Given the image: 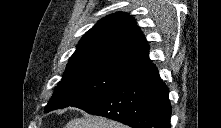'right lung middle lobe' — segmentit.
Listing matches in <instances>:
<instances>
[{
	"instance_id": "right-lung-middle-lobe-1",
	"label": "right lung middle lobe",
	"mask_w": 221,
	"mask_h": 128,
	"mask_svg": "<svg viewBox=\"0 0 221 128\" xmlns=\"http://www.w3.org/2000/svg\"><path fill=\"white\" fill-rule=\"evenodd\" d=\"M124 77L93 68L67 70L44 111L47 113L88 101L103 94Z\"/></svg>"
}]
</instances>
